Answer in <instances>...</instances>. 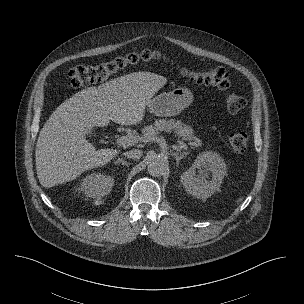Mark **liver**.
<instances>
[{
	"label": "liver",
	"mask_w": 304,
	"mask_h": 304,
	"mask_svg": "<svg viewBox=\"0 0 304 304\" xmlns=\"http://www.w3.org/2000/svg\"><path fill=\"white\" fill-rule=\"evenodd\" d=\"M167 83L164 76L134 72L88 87L64 101L39 133L35 162L40 184L50 188L71 181L84 171L107 164L119 151L96 150L86 136L110 121L136 125L151 98Z\"/></svg>",
	"instance_id": "6515ba94"
}]
</instances>
